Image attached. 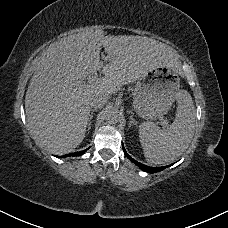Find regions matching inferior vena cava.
Here are the masks:
<instances>
[{"instance_id": "inferior-vena-cava-1", "label": "inferior vena cava", "mask_w": 228, "mask_h": 228, "mask_svg": "<svg viewBox=\"0 0 228 228\" xmlns=\"http://www.w3.org/2000/svg\"><path fill=\"white\" fill-rule=\"evenodd\" d=\"M109 96L107 94H101L99 92H92L89 95V105L95 109H101L105 106Z\"/></svg>"}]
</instances>
